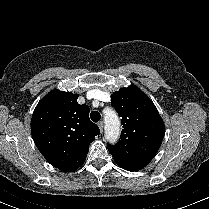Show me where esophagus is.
Instances as JSON below:
<instances>
[{
    "instance_id": "esophagus-1",
    "label": "esophagus",
    "mask_w": 209,
    "mask_h": 209,
    "mask_svg": "<svg viewBox=\"0 0 209 209\" xmlns=\"http://www.w3.org/2000/svg\"><path fill=\"white\" fill-rule=\"evenodd\" d=\"M98 127H99L100 131L103 132L104 124H103L102 121H100V122L98 123Z\"/></svg>"
}]
</instances>
